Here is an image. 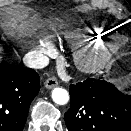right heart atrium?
<instances>
[{
	"label": "right heart atrium",
	"mask_w": 131,
	"mask_h": 131,
	"mask_svg": "<svg viewBox=\"0 0 131 131\" xmlns=\"http://www.w3.org/2000/svg\"><path fill=\"white\" fill-rule=\"evenodd\" d=\"M37 51L43 55L50 54L53 51V45L48 41H40L37 46Z\"/></svg>",
	"instance_id": "obj_1"
}]
</instances>
